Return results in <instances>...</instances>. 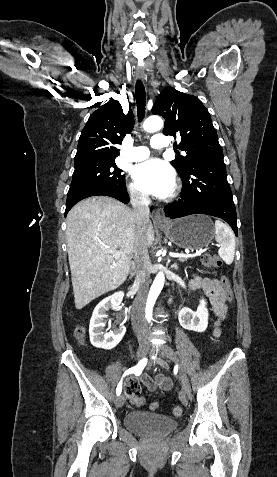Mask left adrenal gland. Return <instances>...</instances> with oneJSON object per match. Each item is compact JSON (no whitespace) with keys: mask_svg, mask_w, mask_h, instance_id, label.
Masks as SVG:
<instances>
[{"mask_svg":"<svg viewBox=\"0 0 277 477\" xmlns=\"http://www.w3.org/2000/svg\"><path fill=\"white\" fill-rule=\"evenodd\" d=\"M172 268H174L175 270H178V265L176 263H174L173 265H171Z\"/></svg>","mask_w":277,"mask_h":477,"instance_id":"a2214340","label":"left adrenal gland"}]
</instances>
